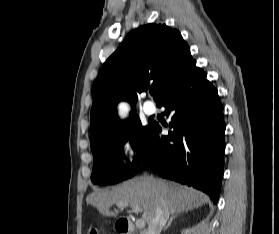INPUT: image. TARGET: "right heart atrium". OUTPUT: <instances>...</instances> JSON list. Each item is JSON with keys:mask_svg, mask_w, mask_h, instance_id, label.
<instances>
[{"mask_svg": "<svg viewBox=\"0 0 279 234\" xmlns=\"http://www.w3.org/2000/svg\"><path fill=\"white\" fill-rule=\"evenodd\" d=\"M121 145L126 156L127 164H136L141 156V145L138 139L134 135L128 134L122 139Z\"/></svg>", "mask_w": 279, "mask_h": 234, "instance_id": "obj_1", "label": "right heart atrium"}]
</instances>
